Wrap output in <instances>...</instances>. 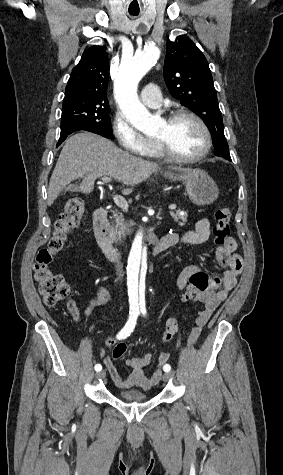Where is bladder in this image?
I'll use <instances>...</instances> for the list:
<instances>
[{
  "instance_id": "1",
  "label": "bladder",
  "mask_w": 283,
  "mask_h": 475,
  "mask_svg": "<svg viewBox=\"0 0 283 475\" xmlns=\"http://www.w3.org/2000/svg\"><path fill=\"white\" fill-rule=\"evenodd\" d=\"M151 394L144 393L139 389H128V390H120L116 394V398L119 400H123L127 403H142L148 402L151 399Z\"/></svg>"
}]
</instances>
